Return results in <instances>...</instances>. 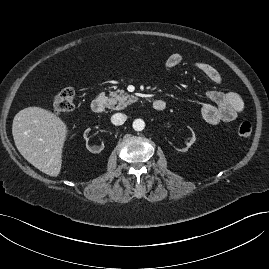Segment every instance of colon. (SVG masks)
I'll list each match as a JSON object with an SVG mask.
<instances>
[{
    "instance_id": "1",
    "label": "colon",
    "mask_w": 269,
    "mask_h": 269,
    "mask_svg": "<svg viewBox=\"0 0 269 269\" xmlns=\"http://www.w3.org/2000/svg\"><path fill=\"white\" fill-rule=\"evenodd\" d=\"M75 107V91L71 87L61 88L54 96L53 108L57 114L64 115L72 112ZM253 131L252 124L243 121L238 127V134L241 138H248Z\"/></svg>"
}]
</instances>
